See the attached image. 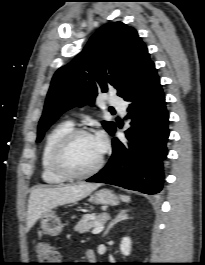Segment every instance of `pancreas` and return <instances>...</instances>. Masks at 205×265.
I'll list each match as a JSON object with an SVG mask.
<instances>
[{"mask_svg":"<svg viewBox=\"0 0 205 265\" xmlns=\"http://www.w3.org/2000/svg\"><path fill=\"white\" fill-rule=\"evenodd\" d=\"M108 217L109 215L107 213H101L99 215H96L94 213L85 214L74 227V230L79 233H86L91 228L96 226L93 220H96L98 224L102 225Z\"/></svg>","mask_w":205,"mask_h":265,"instance_id":"obj_1","label":"pancreas"}]
</instances>
